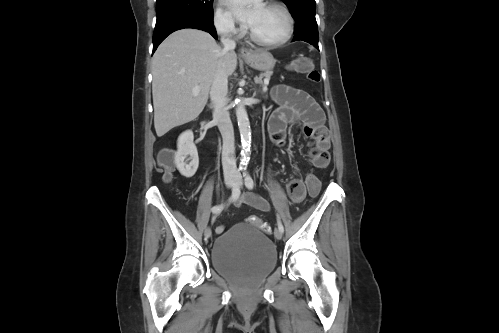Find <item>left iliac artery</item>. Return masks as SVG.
Listing matches in <instances>:
<instances>
[{"label": "left iliac artery", "instance_id": "left-iliac-artery-1", "mask_svg": "<svg viewBox=\"0 0 499 333\" xmlns=\"http://www.w3.org/2000/svg\"><path fill=\"white\" fill-rule=\"evenodd\" d=\"M244 181H245V185L248 189H252L254 187V181L252 179V177L250 176V174L248 173V171L245 169L244 170ZM278 229L283 233L284 232V227L278 217Z\"/></svg>", "mask_w": 499, "mask_h": 333}]
</instances>
